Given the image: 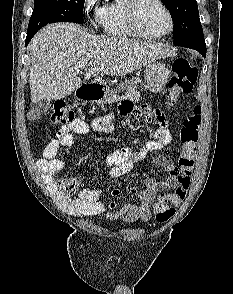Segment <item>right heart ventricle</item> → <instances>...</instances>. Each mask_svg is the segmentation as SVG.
Segmentation results:
<instances>
[{"mask_svg": "<svg viewBox=\"0 0 233 294\" xmlns=\"http://www.w3.org/2000/svg\"><path fill=\"white\" fill-rule=\"evenodd\" d=\"M128 0H113L103 6L98 23L104 33L117 38H140L127 19Z\"/></svg>", "mask_w": 233, "mask_h": 294, "instance_id": "obj_1", "label": "right heart ventricle"}]
</instances>
